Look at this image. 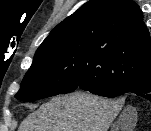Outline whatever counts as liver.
Listing matches in <instances>:
<instances>
[{
	"label": "liver",
	"instance_id": "liver-1",
	"mask_svg": "<svg viewBox=\"0 0 151 131\" xmlns=\"http://www.w3.org/2000/svg\"><path fill=\"white\" fill-rule=\"evenodd\" d=\"M120 109L117 100L75 92L42 104L18 131H108Z\"/></svg>",
	"mask_w": 151,
	"mask_h": 131
}]
</instances>
